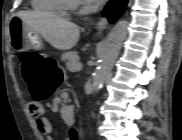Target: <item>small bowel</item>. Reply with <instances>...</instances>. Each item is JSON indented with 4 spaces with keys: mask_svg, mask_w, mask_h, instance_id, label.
Instances as JSON below:
<instances>
[{
    "mask_svg": "<svg viewBox=\"0 0 182 140\" xmlns=\"http://www.w3.org/2000/svg\"><path fill=\"white\" fill-rule=\"evenodd\" d=\"M28 109L31 115L34 117L35 125L38 131L45 136L47 140H52V125L49 119L45 116L44 106L38 101H32L29 103Z\"/></svg>",
    "mask_w": 182,
    "mask_h": 140,
    "instance_id": "c3829d8e",
    "label": "small bowel"
}]
</instances>
